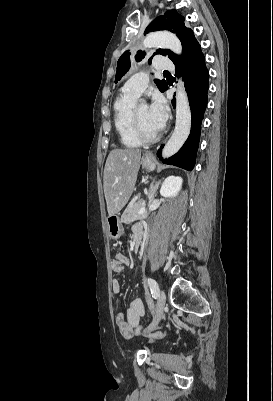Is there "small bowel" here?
I'll return each mask as SVG.
<instances>
[{"mask_svg":"<svg viewBox=\"0 0 273 401\" xmlns=\"http://www.w3.org/2000/svg\"><path fill=\"white\" fill-rule=\"evenodd\" d=\"M139 233L142 234V228L136 226L133 229V235H132L133 239ZM128 264H129V258L123 253H117L112 260L111 266L112 270L115 273H121L124 270L125 266ZM112 288L115 293H118L120 291L121 285L120 281L117 278H114L112 280ZM149 309L151 312H153L154 317L158 316V313L156 312L158 308L156 305L154 304L151 305ZM144 316H145V307L141 299L135 297L130 301L129 307L125 315L122 313L116 315L115 325L123 337L130 338L140 328L141 320ZM158 332H159L158 335L156 333H150L149 335L144 334L143 338L144 339L149 338L150 342L152 344H155L157 342V338L159 340H162L164 338V335H167L169 333V330L167 328L164 329L159 328Z\"/></svg>","mask_w":273,"mask_h":401,"instance_id":"1","label":"small bowel"}]
</instances>
